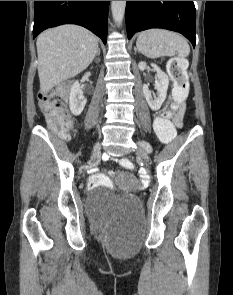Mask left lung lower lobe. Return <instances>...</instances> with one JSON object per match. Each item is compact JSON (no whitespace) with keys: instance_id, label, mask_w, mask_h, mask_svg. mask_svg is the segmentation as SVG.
<instances>
[{"instance_id":"obj_1","label":"left lung lower lobe","mask_w":233,"mask_h":295,"mask_svg":"<svg viewBox=\"0 0 233 295\" xmlns=\"http://www.w3.org/2000/svg\"><path fill=\"white\" fill-rule=\"evenodd\" d=\"M125 17L129 39L139 31L165 28L182 33L195 47L193 1H127Z\"/></svg>"}]
</instances>
